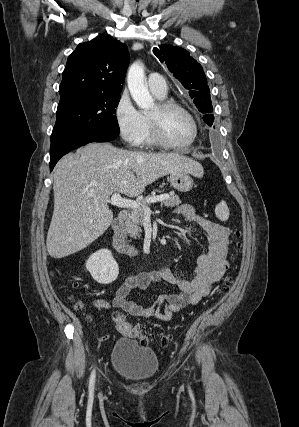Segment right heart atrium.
<instances>
[{
    "instance_id": "d8ad5b80",
    "label": "right heart atrium",
    "mask_w": 299,
    "mask_h": 427,
    "mask_svg": "<svg viewBox=\"0 0 299 427\" xmlns=\"http://www.w3.org/2000/svg\"><path fill=\"white\" fill-rule=\"evenodd\" d=\"M114 119L119 136L125 143L131 146L141 143L145 129L144 117L127 91L120 94L115 104Z\"/></svg>"
}]
</instances>
